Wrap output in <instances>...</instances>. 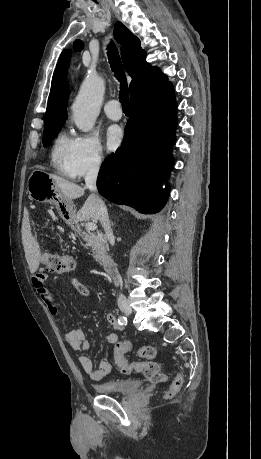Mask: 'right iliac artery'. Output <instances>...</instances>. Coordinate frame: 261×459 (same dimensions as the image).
<instances>
[{
	"instance_id": "82829eb1",
	"label": "right iliac artery",
	"mask_w": 261,
	"mask_h": 459,
	"mask_svg": "<svg viewBox=\"0 0 261 459\" xmlns=\"http://www.w3.org/2000/svg\"><path fill=\"white\" fill-rule=\"evenodd\" d=\"M118 322L120 325H127V318L125 316H119Z\"/></svg>"
}]
</instances>
